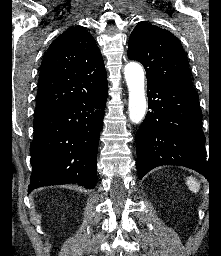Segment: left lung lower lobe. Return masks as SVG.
Wrapping results in <instances>:
<instances>
[{
  "instance_id": "obj_1",
  "label": "left lung lower lobe",
  "mask_w": 221,
  "mask_h": 256,
  "mask_svg": "<svg viewBox=\"0 0 221 256\" xmlns=\"http://www.w3.org/2000/svg\"><path fill=\"white\" fill-rule=\"evenodd\" d=\"M150 109L136 133L138 178L157 166H185L207 176L199 97L193 87L147 83Z\"/></svg>"
}]
</instances>
